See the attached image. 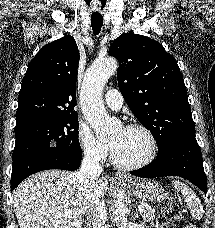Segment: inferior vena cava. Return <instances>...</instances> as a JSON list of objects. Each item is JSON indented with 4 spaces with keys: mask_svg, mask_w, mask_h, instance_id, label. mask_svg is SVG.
<instances>
[{
    "mask_svg": "<svg viewBox=\"0 0 215 228\" xmlns=\"http://www.w3.org/2000/svg\"><path fill=\"white\" fill-rule=\"evenodd\" d=\"M102 172L103 168L100 164L99 156L93 150H86L80 170L74 174L75 182L77 188L82 190V192H85V190H90V192L97 190V192H100L97 196L98 202L95 204L97 214L96 216H87V228H105V204L101 194L102 190L98 188L97 184V180Z\"/></svg>",
    "mask_w": 215,
    "mask_h": 228,
    "instance_id": "1",
    "label": "inferior vena cava"
}]
</instances>
